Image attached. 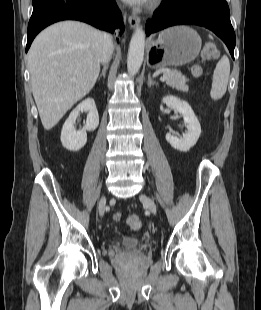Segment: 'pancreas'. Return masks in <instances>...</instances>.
Listing matches in <instances>:
<instances>
[{
    "instance_id": "obj_1",
    "label": "pancreas",
    "mask_w": 261,
    "mask_h": 310,
    "mask_svg": "<svg viewBox=\"0 0 261 310\" xmlns=\"http://www.w3.org/2000/svg\"><path fill=\"white\" fill-rule=\"evenodd\" d=\"M164 75L168 76L165 80L166 84L178 91L187 92L189 90L186 82L188 79L177 70H165Z\"/></svg>"
}]
</instances>
